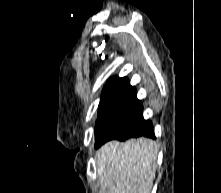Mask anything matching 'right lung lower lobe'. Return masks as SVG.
<instances>
[{"mask_svg":"<svg viewBox=\"0 0 221 193\" xmlns=\"http://www.w3.org/2000/svg\"><path fill=\"white\" fill-rule=\"evenodd\" d=\"M146 136L150 138H155L153 125L149 121H144L140 126L132 129L121 137L116 138L117 140L124 141L131 137H141Z\"/></svg>","mask_w":221,"mask_h":193,"instance_id":"1","label":"right lung lower lobe"}]
</instances>
